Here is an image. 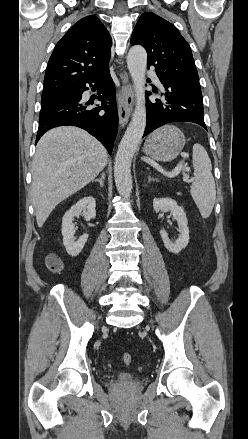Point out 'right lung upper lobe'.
Listing matches in <instances>:
<instances>
[{
  "instance_id": "right-lung-upper-lobe-1",
  "label": "right lung upper lobe",
  "mask_w": 248,
  "mask_h": 439,
  "mask_svg": "<svg viewBox=\"0 0 248 439\" xmlns=\"http://www.w3.org/2000/svg\"><path fill=\"white\" fill-rule=\"evenodd\" d=\"M112 40L96 16L76 22L49 59L42 98L64 93L108 69Z\"/></svg>"
}]
</instances>
